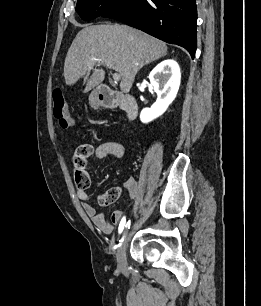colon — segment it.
I'll return each instance as SVG.
<instances>
[{
	"instance_id": "obj_1",
	"label": "colon",
	"mask_w": 261,
	"mask_h": 306,
	"mask_svg": "<svg viewBox=\"0 0 261 306\" xmlns=\"http://www.w3.org/2000/svg\"><path fill=\"white\" fill-rule=\"evenodd\" d=\"M53 116L64 129L71 127L73 124L65 98L60 89L53 91ZM92 151L93 147L90 144L80 145L74 153V166L77 168L85 167ZM119 196L120 189L118 187H111L100 196L99 202L102 205H109L114 203Z\"/></svg>"
}]
</instances>
